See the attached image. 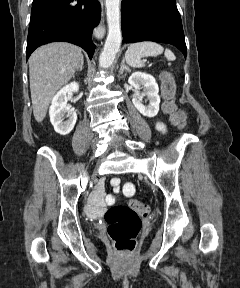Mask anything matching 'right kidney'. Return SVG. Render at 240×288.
Listing matches in <instances>:
<instances>
[{
    "label": "right kidney",
    "instance_id": "1",
    "mask_svg": "<svg viewBox=\"0 0 240 288\" xmlns=\"http://www.w3.org/2000/svg\"><path fill=\"white\" fill-rule=\"evenodd\" d=\"M78 91L79 84L77 82H71L58 91L52 99L49 109L50 121L54 130L60 135H68L75 126L77 115L76 112L71 109V106L67 104V94ZM65 117L67 118L66 121H64Z\"/></svg>",
    "mask_w": 240,
    "mask_h": 288
}]
</instances>
